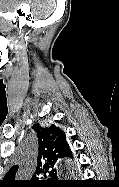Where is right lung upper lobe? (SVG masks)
Instances as JSON below:
<instances>
[{"label":"right lung upper lobe","mask_w":119,"mask_h":187,"mask_svg":"<svg viewBox=\"0 0 119 187\" xmlns=\"http://www.w3.org/2000/svg\"><path fill=\"white\" fill-rule=\"evenodd\" d=\"M33 129L37 132L39 140L37 174L43 173L45 169H50L62 159L72 157L65 133L59 127L52 125L49 128H43L36 124ZM17 170L18 167L13 166L6 174L5 179L14 180Z\"/></svg>","instance_id":"right-lung-upper-lobe-1"}]
</instances>
